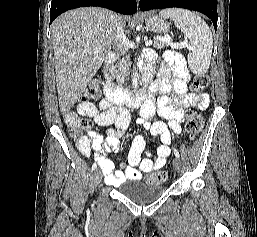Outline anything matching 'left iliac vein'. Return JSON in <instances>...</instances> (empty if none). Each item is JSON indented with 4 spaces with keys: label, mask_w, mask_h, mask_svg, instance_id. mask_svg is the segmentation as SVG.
Returning a JSON list of instances; mask_svg holds the SVG:
<instances>
[{
    "label": "left iliac vein",
    "mask_w": 257,
    "mask_h": 237,
    "mask_svg": "<svg viewBox=\"0 0 257 237\" xmlns=\"http://www.w3.org/2000/svg\"><path fill=\"white\" fill-rule=\"evenodd\" d=\"M173 166L177 172H181L183 169V164L179 158H174Z\"/></svg>",
    "instance_id": "obj_1"
}]
</instances>
